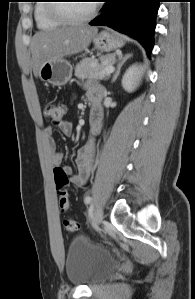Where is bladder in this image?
Returning <instances> with one entry per match:
<instances>
[{"label":"bladder","instance_id":"31cf9c89","mask_svg":"<svg viewBox=\"0 0 195 299\" xmlns=\"http://www.w3.org/2000/svg\"><path fill=\"white\" fill-rule=\"evenodd\" d=\"M115 266L110 252L93 244L84 235L75 237L69 244L65 270L72 284L91 286L106 279Z\"/></svg>","mask_w":195,"mask_h":299}]
</instances>
